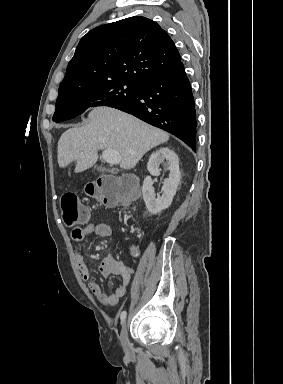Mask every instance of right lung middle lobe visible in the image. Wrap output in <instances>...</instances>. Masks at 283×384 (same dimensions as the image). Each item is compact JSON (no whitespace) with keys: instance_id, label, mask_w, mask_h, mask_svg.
I'll return each instance as SVG.
<instances>
[{"instance_id":"dd1d6c3e","label":"right lung middle lobe","mask_w":283,"mask_h":384,"mask_svg":"<svg viewBox=\"0 0 283 384\" xmlns=\"http://www.w3.org/2000/svg\"><path fill=\"white\" fill-rule=\"evenodd\" d=\"M139 91L140 84L127 80L60 87L53 121L61 122L75 118L89 107H111L134 99Z\"/></svg>"}]
</instances>
